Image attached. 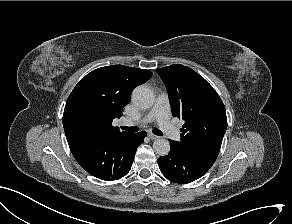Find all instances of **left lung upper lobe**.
<instances>
[{"mask_svg":"<svg viewBox=\"0 0 292 224\" xmlns=\"http://www.w3.org/2000/svg\"><path fill=\"white\" fill-rule=\"evenodd\" d=\"M164 82L173 116L185 123L180 129V149L212 166L227 128L225 106L214 88L189 67L173 64L157 69Z\"/></svg>","mask_w":292,"mask_h":224,"instance_id":"5c2ea615","label":"left lung upper lobe"}]
</instances>
